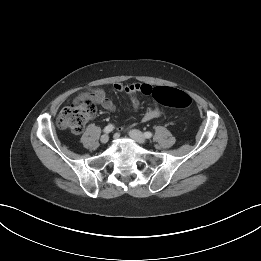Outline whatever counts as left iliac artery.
<instances>
[{
  "label": "left iliac artery",
  "mask_w": 261,
  "mask_h": 261,
  "mask_svg": "<svg viewBox=\"0 0 261 261\" xmlns=\"http://www.w3.org/2000/svg\"><path fill=\"white\" fill-rule=\"evenodd\" d=\"M144 136H145L146 138H151V137H152V133L149 132V131H147V132L144 133Z\"/></svg>",
  "instance_id": "left-iliac-artery-1"
}]
</instances>
